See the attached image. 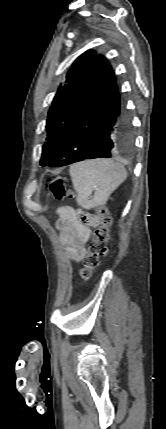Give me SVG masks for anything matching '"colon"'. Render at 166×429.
I'll use <instances>...</instances> for the list:
<instances>
[{"mask_svg": "<svg viewBox=\"0 0 166 429\" xmlns=\"http://www.w3.org/2000/svg\"><path fill=\"white\" fill-rule=\"evenodd\" d=\"M50 191L57 200H61L65 197H73V193L66 188L62 179H56L51 184ZM97 217L99 224L94 230L93 240L87 254L82 260V267L79 272L82 281H87L91 278L93 271L99 266L101 258L107 252L111 216L108 209L103 206L98 208Z\"/></svg>", "mask_w": 166, "mask_h": 429, "instance_id": "1", "label": "colon"}]
</instances>
